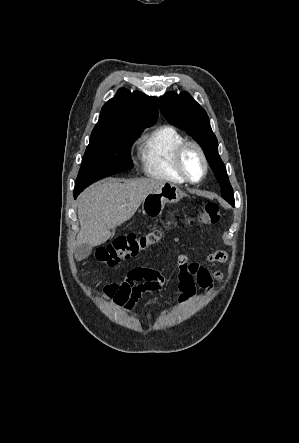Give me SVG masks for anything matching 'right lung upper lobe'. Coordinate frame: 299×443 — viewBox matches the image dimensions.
<instances>
[{
    "instance_id": "obj_1",
    "label": "right lung upper lobe",
    "mask_w": 299,
    "mask_h": 443,
    "mask_svg": "<svg viewBox=\"0 0 299 443\" xmlns=\"http://www.w3.org/2000/svg\"><path fill=\"white\" fill-rule=\"evenodd\" d=\"M158 118L157 99L135 91L119 89L101 110L91 136L123 129H136L154 124Z\"/></svg>"
}]
</instances>
